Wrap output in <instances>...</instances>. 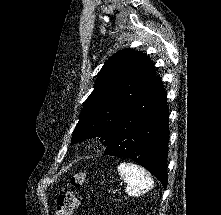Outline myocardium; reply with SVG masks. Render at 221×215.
Segmentation results:
<instances>
[{
	"instance_id": "1",
	"label": "myocardium",
	"mask_w": 221,
	"mask_h": 215,
	"mask_svg": "<svg viewBox=\"0 0 221 215\" xmlns=\"http://www.w3.org/2000/svg\"><path fill=\"white\" fill-rule=\"evenodd\" d=\"M95 143H96V140L94 138H89L84 141V144L88 147L93 146Z\"/></svg>"
}]
</instances>
